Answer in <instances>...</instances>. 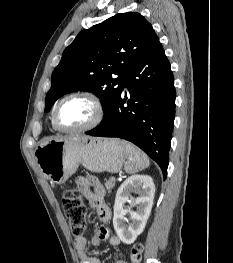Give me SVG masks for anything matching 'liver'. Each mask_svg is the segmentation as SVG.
Listing matches in <instances>:
<instances>
[{"mask_svg":"<svg viewBox=\"0 0 233 263\" xmlns=\"http://www.w3.org/2000/svg\"><path fill=\"white\" fill-rule=\"evenodd\" d=\"M58 138H60V137H58ZM51 139H55V138H47L43 142H46V141L51 140Z\"/></svg>","mask_w":233,"mask_h":263,"instance_id":"6515ba94","label":"liver"}]
</instances>
